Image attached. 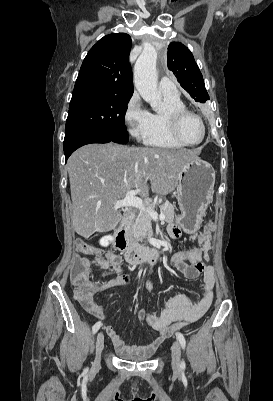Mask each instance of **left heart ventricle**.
I'll return each instance as SVG.
<instances>
[{"mask_svg": "<svg viewBox=\"0 0 273 401\" xmlns=\"http://www.w3.org/2000/svg\"><path fill=\"white\" fill-rule=\"evenodd\" d=\"M178 130L181 138L189 143L199 142L203 137V128L196 116H185L181 120Z\"/></svg>", "mask_w": 273, "mask_h": 401, "instance_id": "left-heart-ventricle-1", "label": "left heart ventricle"}]
</instances>
